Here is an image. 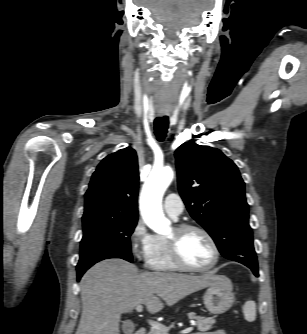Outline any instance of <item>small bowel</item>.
<instances>
[{"label":"small bowel","mask_w":307,"mask_h":334,"mask_svg":"<svg viewBox=\"0 0 307 334\" xmlns=\"http://www.w3.org/2000/svg\"><path fill=\"white\" fill-rule=\"evenodd\" d=\"M201 334H226L224 330H215V331H210V332H206V333H201Z\"/></svg>","instance_id":"c3829d8e"}]
</instances>
